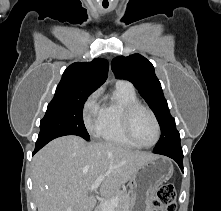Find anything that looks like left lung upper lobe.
I'll return each instance as SVG.
<instances>
[{"label": "left lung upper lobe", "mask_w": 221, "mask_h": 211, "mask_svg": "<svg viewBox=\"0 0 221 211\" xmlns=\"http://www.w3.org/2000/svg\"><path fill=\"white\" fill-rule=\"evenodd\" d=\"M111 66L115 77L132 82L154 112L161 128V137L154 151L179 147L180 134L176 129L175 119L169 112L153 65L143 56L133 54L114 58Z\"/></svg>", "instance_id": "obj_1"}]
</instances>
